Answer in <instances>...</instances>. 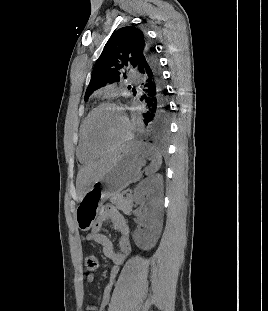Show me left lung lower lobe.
Masks as SVG:
<instances>
[{"label": "left lung lower lobe", "instance_id": "1", "mask_svg": "<svg viewBox=\"0 0 268 311\" xmlns=\"http://www.w3.org/2000/svg\"><path fill=\"white\" fill-rule=\"evenodd\" d=\"M147 53V60L138 66L141 75L140 100L144 104V112L134 141H168L170 109L166 101L167 93L158 58L149 47Z\"/></svg>", "mask_w": 268, "mask_h": 311}]
</instances>
